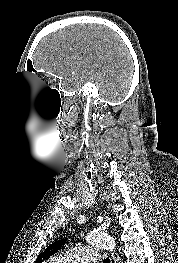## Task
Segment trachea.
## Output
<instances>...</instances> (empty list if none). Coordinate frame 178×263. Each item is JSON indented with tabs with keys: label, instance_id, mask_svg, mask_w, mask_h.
Returning <instances> with one entry per match:
<instances>
[{
	"label": "trachea",
	"instance_id": "1",
	"mask_svg": "<svg viewBox=\"0 0 178 263\" xmlns=\"http://www.w3.org/2000/svg\"><path fill=\"white\" fill-rule=\"evenodd\" d=\"M103 262H104V263H110V259L106 258V259H104Z\"/></svg>",
	"mask_w": 178,
	"mask_h": 263
}]
</instances>
